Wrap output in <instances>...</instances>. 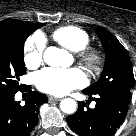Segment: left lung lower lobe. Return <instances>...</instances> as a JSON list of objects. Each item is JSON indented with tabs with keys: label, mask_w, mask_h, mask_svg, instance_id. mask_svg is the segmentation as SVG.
I'll return each mask as SVG.
<instances>
[{
	"label": "left lung lower lobe",
	"mask_w": 136,
	"mask_h": 136,
	"mask_svg": "<svg viewBox=\"0 0 136 136\" xmlns=\"http://www.w3.org/2000/svg\"><path fill=\"white\" fill-rule=\"evenodd\" d=\"M83 93L90 99L94 97L95 108L91 109L80 102L78 111L66 118L68 125L81 136L112 135L124 121L132 92L110 90L90 93L83 90Z\"/></svg>",
	"instance_id": "1"
}]
</instances>
